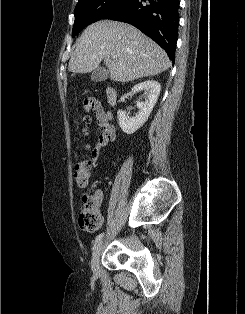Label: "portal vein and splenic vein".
Segmentation results:
<instances>
[{
    "label": "portal vein and splenic vein",
    "mask_w": 245,
    "mask_h": 314,
    "mask_svg": "<svg viewBox=\"0 0 245 314\" xmlns=\"http://www.w3.org/2000/svg\"><path fill=\"white\" fill-rule=\"evenodd\" d=\"M112 58H113V59H116V58H117V56H116V55H113V56H112Z\"/></svg>",
    "instance_id": "1"
}]
</instances>
